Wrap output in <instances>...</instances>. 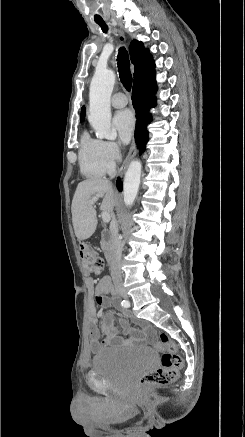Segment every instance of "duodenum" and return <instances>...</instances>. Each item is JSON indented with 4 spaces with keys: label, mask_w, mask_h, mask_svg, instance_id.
<instances>
[{
    "label": "duodenum",
    "mask_w": 245,
    "mask_h": 437,
    "mask_svg": "<svg viewBox=\"0 0 245 437\" xmlns=\"http://www.w3.org/2000/svg\"><path fill=\"white\" fill-rule=\"evenodd\" d=\"M101 239H102V243H103L102 249H103L105 259L107 261H110L111 260V249L109 247V242L111 239L110 233L107 230L103 231Z\"/></svg>",
    "instance_id": "410a0bca"
}]
</instances>
